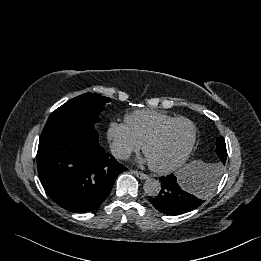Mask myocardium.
<instances>
[{
    "mask_svg": "<svg viewBox=\"0 0 261 261\" xmlns=\"http://www.w3.org/2000/svg\"><path fill=\"white\" fill-rule=\"evenodd\" d=\"M179 122H186V123L191 125V127H192L191 141H190L187 149L183 153V155L177 161H175L174 163H172L170 165H166V166H156V165H153L149 162L150 168L157 173H161V174L170 173V172L178 169L181 165H183L188 160L191 153L193 152V149L195 147L196 140H197V127H196L195 123L192 120H190L186 117L174 118V119L162 124L158 129H156L144 141V143L142 145L143 152L146 155L147 149L149 148V146L151 144L155 143L156 141H158L168 128H170L172 125L179 123Z\"/></svg>",
    "mask_w": 261,
    "mask_h": 261,
    "instance_id": "1",
    "label": "myocardium"
}]
</instances>
